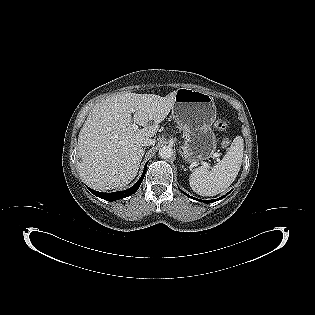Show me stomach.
Masks as SVG:
<instances>
[{"instance_id":"1","label":"stomach","mask_w":315,"mask_h":315,"mask_svg":"<svg viewBox=\"0 0 315 315\" xmlns=\"http://www.w3.org/2000/svg\"><path fill=\"white\" fill-rule=\"evenodd\" d=\"M172 116L183 131V159L194 166L212 158L217 148L212 129L216 119L214 98L203 91L179 88L175 94Z\"/></svg>"}]
</instances>
